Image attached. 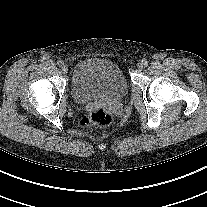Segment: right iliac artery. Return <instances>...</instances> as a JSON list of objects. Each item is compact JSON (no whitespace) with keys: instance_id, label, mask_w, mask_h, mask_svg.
<instances>
[{"instance_id":"82829eb1","label":"right iliac artery","mask_w":207,"mask_h":207,"mask_svg":"<svg viewBox=\"0 0 207 207\" xmlns=\"http://www.w3.org/2000/svg\"><path fill=\"white\" fill-rule=\"evenodd\" d=\"M57 65H58L59 67H61L62 65H64V62H63L62 60H59V61L57 62Z\"/></svg>"}]
</instances>
